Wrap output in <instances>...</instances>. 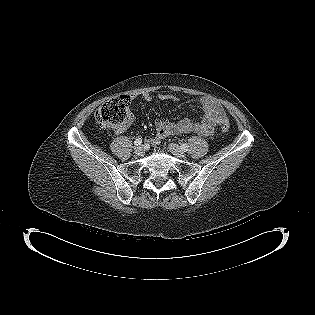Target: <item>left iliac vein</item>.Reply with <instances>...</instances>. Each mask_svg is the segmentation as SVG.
I'll return each instance as SVG.
<instances>
[{"label": "left iliac vein", "mask_w": 315, "mask_h": 315, "mask_svg": "<svg viewBox=\"0 0 315 315\" xmlns=\"http://www.w3.org/2000/svg\"><path fill=\"white\" fill-rule=\"evenodd\" d=\"M168 148L170 152L178 158H183L185 156L184 151L175 143H170Z\"/></svg>", "instance_id": "left-iliac-vein-1"}]
</instances>
